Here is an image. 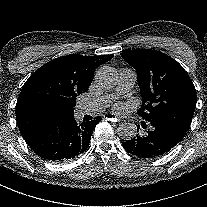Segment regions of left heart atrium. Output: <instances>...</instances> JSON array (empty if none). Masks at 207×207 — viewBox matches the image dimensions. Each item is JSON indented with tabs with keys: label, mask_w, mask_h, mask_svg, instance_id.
Returning <instances> with one entry per match:
<instances>
[{
	"label": "left heart atrium",
	"mask_w": 207,
	"mask_h": 207,
	"mask_svg": "<svg viewBox=\"0 0 207 207\" xmlns=\"http://www.w3.org/2000/svg\"><path fill=\"white\" fill-rule=\"evenodd\" d=\"M114 108L118 111H126V106L123 103H117Z\"/></svg>",
	"instance_id": "1"
}]
</instances>
